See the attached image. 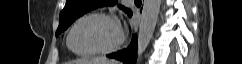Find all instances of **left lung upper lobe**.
<instances>
[{
	"instance_id": "obj_1",
	"label": "left lung upper lobe",
	"mask_w": 242,
	"mask_h": 64,
	"mask_svg": "<svg viewBox=\"0 0 242 64\" xmlns=\"http://www.w3.org/2000/svg\"><path fill=\"white\" fill-rule=\"evenodd\" d=\"M118 0H66V5L60 13L59 26L56 36L66 30L77 18L85 13L102 6H114ZM127 14L129 9L119 6Z\"/></svg>"
}]
</instances>
